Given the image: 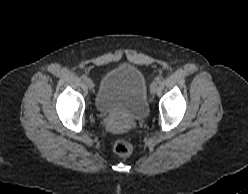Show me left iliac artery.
I'll list each match as a JSON object with an SVG mask.
<instances>
[{
    "label": "left iliac artery",
    "mask_w": 248,
    "mask_h": 194,
    "mask_svg": "<svg viewBox=\"0 0 248 194\" xmlns=\"http://www.w3.org/2000/svg\"><path fill=\"white\" fill-rule=\"evenodd\" d=\"M155 80H156L157 83H161V78L160 77H157Z\"/></svg>",
    "instance_id": "obj_1"
}]
</instances>
